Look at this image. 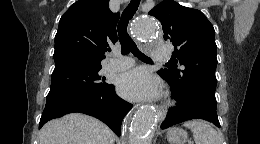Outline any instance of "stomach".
Here are the masks:
<instances>
[{"label":"stomach","mask_w":260,"mask_h":144,"mask_svg":"<svg viewBox=\"0 0 260 144\" xmlns=\"http://www.w3.org/2000/svg\"><path fill=\"white\" fill-rule=\"evenodd\" d=\"M167 139L171 144H185L188 140V133L181 128H171L167 131Z\"/></svg>","instance_id":"1"}]
</instances>
